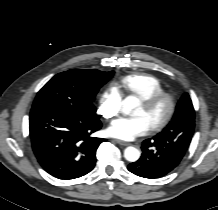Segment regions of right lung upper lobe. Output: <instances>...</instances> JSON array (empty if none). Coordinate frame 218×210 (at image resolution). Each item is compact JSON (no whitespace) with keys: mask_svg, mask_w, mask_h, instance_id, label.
I'll list each match as a JSON object with an SVG mask.
<instances>
[{"mask_svg":"<svg viewBox=\"0 0 218 210\" xmlns=\"http://www.w3.org/2000/svg\"><path fill=\"white\" fill-rule=\"evenodd\" d=\"M73 71H77V72H81V73L89 74V75H93V76H105V75H109V74H111L113 72V71H111V72H102V71L93 70V69H84V70L74 69Z\"/></svg>","mask_w":218,"mask_h":210,"instance_id":"1","label":"right lung upper lobe"}]
</instances>
